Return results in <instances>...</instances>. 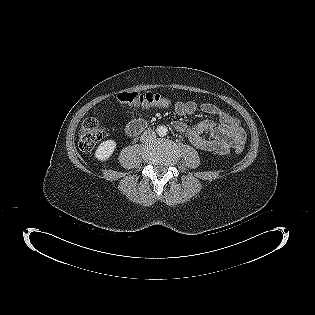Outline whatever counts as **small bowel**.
<instances>
[{
	"mask_svg": "<svg viewBox=\"0 0 315 315\" xmlns=\"http://www.w3.org/2000/svg\"><path fill=\"white\" fill-rule=\"evenodd\" d=\"M197 110L215 116L216 121L203 120L193 126L175 120L173 127L186 134L191 144L200 150L226 154L231 148L243 146L246 133L238 119L212 103L198 105L194 101H179L174 111L180 116L194 114Z\"/></svg>",
	"mask_w": 315,
	"mask_h": 315,
	"instance_id": "obj_1",
	"label": "small bowel"
}]
</instances>
